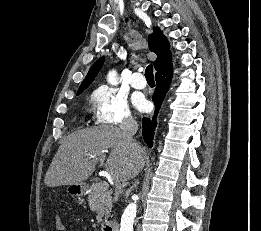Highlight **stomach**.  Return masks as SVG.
<instances>
[{
	"instance_id": "stomach-1",
	"label": "stomach",
	"mask_w": 261,
	"mask_h": 231,
	"mask_svg": "<svg viewBox=\"0 0 261 231\" xmlns=\"http://www.w3.org/2000/svg\"><path fill=\"white\" fill-rule=\"evenodd\" d=\"M67 191L70 194L76 195V196H81L85 193L86 191V185L84 183L81 184H72L69 185L67 188Z\"/></svg>"
}]
</instances>
